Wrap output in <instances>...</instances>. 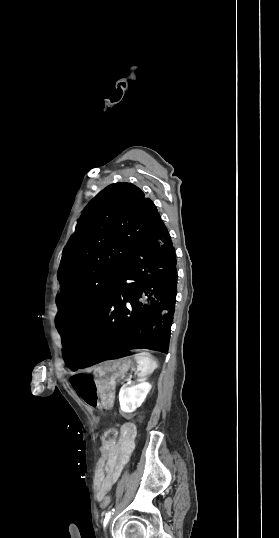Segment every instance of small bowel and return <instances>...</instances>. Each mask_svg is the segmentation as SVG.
Listing matches in <instances>:
<instances>
[{
	"instance_id": "small-bowel-1",
	"label": "small bowel",
	"mask_w": 279,
	"mask_h": 538,
	"mask_svg": "<svg viewBox=\"0 0 279 538\" xmlns=\"http://www.w3.org/2000/svg\"><path fill=\"white\" fill-rule=\"evenodd\" d=\"M71 386L77 396L88 406L99 408L96 385L94 379L86 374H76L71 378ZM136 427L132 423L123 424L120 428V437L117 442L102 446L104 461L102 473L97 481V490L103 498L119 479L124 467L134 449Z\"/></svg>"
}]
</instances>
